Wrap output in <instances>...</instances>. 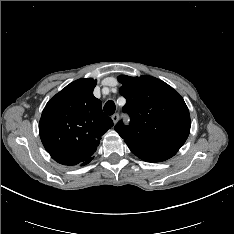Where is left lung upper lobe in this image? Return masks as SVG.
Instances as JSON below:
<instances>
[{
    "label": "left lung upper lobe",
    "instance_id": "left-lung-upper-lobe-1",
    "mask_svg": "<svg viewBox=\"0 0 234 234\" xmlns=\"http://www.w3.org/2000/svg\"><path fill=\"white\" fill-rule=\"evenodd\" d=\"M120 94L127 102L123 111L131 117L129 126L119 121L115 130L128 146L150 150L178 151L190 132L189 110L171 86L143 75L118 77Z\"/></svg>",
    "mask_w": 234,
    "mask_h": 234
}]
</instances>
